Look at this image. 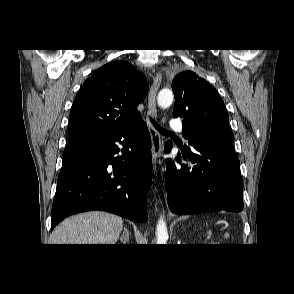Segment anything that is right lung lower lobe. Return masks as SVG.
I'll use <instances>...</instances> for the list:
<instances>
[{
  "mask_svg": "<svg viewBox=\"0 0 294 294\" xmlns=\"http://www.w3.org/2000/svg\"><path fill=\"white\" fill-rule=\"evenodd\" d=\"M151 173V139L140 115L117 130L69 142L58 176L51 229L72 214L91 210L145 222Z\"/></svg>",
  "mask_w": 294,
  "mask_h": 294,
  "instance_id": "1",
  "label": "right lung lower lobe"
}]
</instances>
